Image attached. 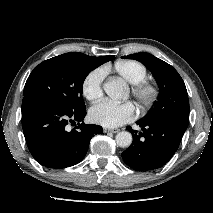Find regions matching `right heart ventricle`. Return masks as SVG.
Masks as SVG:
<instances>
[{
	"mask_svg": "<svg viewBox=\"0 0 213 213\" xmlns=\"http://www.w3.org/2000/svg\"><path fill=\"white\" fill-rule=\"evenodd\" d=\"M114 69L120 77L130 84L144 80L147 76L146 68L133 60L119 61L114 65Z\"/></svg>",
	"mask_w": 213,
	"mask_h": 213,
	"instance_id": "right-heart-ventricle-1",
	"label": "right heart ventricle"
}]
</instances>
